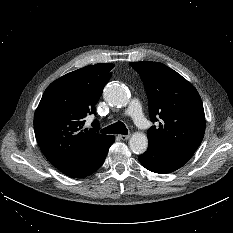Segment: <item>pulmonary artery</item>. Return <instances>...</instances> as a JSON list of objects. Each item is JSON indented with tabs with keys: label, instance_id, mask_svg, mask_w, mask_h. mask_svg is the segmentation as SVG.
<instances>
[{
	"label": "pulmonary artery",
	"instance_id": "e3ab8cb5",
	"mask_svg": "<svg viewBox=\"0 0 233 233\" xmlns=\"http://www.w3.org/2000/svg\"><path fill=\"white\" fill-rule=\"evenodd\" d=\"M125 114L130 116L139 128L145 129L148 127L149 123L143 115L139 100L133 99Z\"/></svg>",
	"mask_w": 233,
	"mask_h": 233
}]
</instances>
